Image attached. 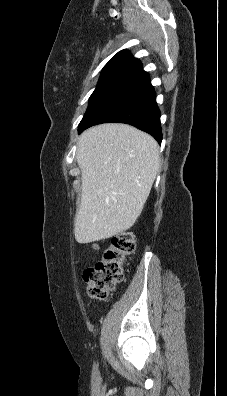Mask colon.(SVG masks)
I'll return each instance as SVG.
<instances>
[{
  "instance_id": "colon-1",
  "label": "colon",
  "mask_w": 227,
  "mask_h": 396,
  "mask_svg": "<svg viewBox=\"0 0 227 396\" xmlns=\"http://www.w3.org/2000/svg\"><path fill=\"white\" fill-rule=\"evenodd\" d=\"M136 240L132 233L116 235L96 264L84 272L88 294L97 300H107L124 279V262L133 254ZM94 244L93 248L97 249Z\"/></svg>"
}]
</instances>
